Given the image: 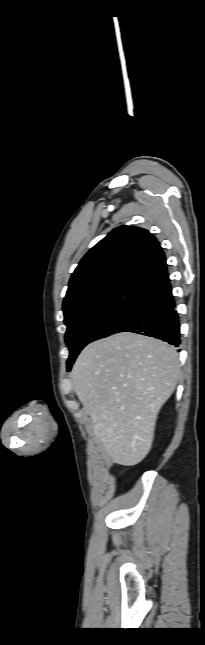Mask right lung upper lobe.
I'll return each instance as SVG.
<instances>
[{"label":"right lung upper lobe","instance_id":"obj_1","mask_svg":"<svg viewBox=\"0 0 205 645\" xmlns=\"http://www.w3.org/2000/svg\"><path fill=\"white\" fill-rule=\"evenodd\" d=\"M166 274V258L156 238L145 229L121 226L82 258L71 276L63 308L123 285L147 288Z\"/></svg>","mask_w":205,"mask_h":645}]
</instances>
